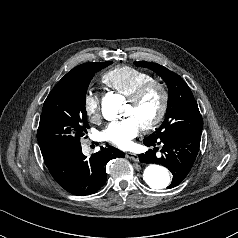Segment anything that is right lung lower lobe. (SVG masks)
I'll return each instance as SVG.
<instances>
[{
	"label": "right lung lower lobe",
	"instance_id": "right-lung-lower-lobe-1",
	"mask_svg": "<svg viewBox=\"0 0 238 238\" xmlns=\"http://www.w3.org/2000/svg\"><path fill=\"white\" fill-rule=\"evenodd\" d=\"M124 153L112 146L93 154L89 159L83 155L81 145L65 148L51 153L44 162L56 182L74 195H89L104 186L107 178L106 164Z\"/></svg>",
	"mask_w": 238,
	"mask_h": 238
}]
</instances>
